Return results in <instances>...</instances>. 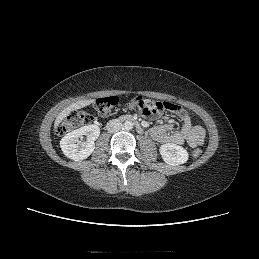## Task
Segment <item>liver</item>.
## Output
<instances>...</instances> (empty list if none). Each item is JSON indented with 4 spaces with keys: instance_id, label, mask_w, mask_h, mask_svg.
<instances>
[{
    "instance_id": "obj_1",
    "label": "liver",
    "mask_w": 259,
    "mask_h": 259,
    "mask_svg": "<svg viewBox=\"0 0 259 259\" xmlns=\"http://www.w3.org/2000/svg\"><path fill=\"white\" fill-rule=\"evenodd\" d=\"M93 102H94L93 99H90V100H80V101L72 103L71 105L66 107L62 112H60L58 114V116L55 119V122H54L55 130L57 129L59 124L62 122V120L65 117H67L72 111H75V110L81 109L83 107H86V106L92 104Z\"/></svg>"
}]
</instances>
